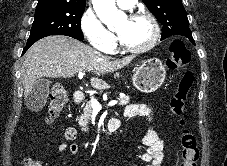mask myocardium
Here are the masks:
<instances>
[{
  "mask_svg": "<svg viewBox=\"0 0 227 166\" xmlns=\"http://www.w3.org/2000/svg\"><path fill=\"white\" fill-rule=\"evenodd\" d=\"M128 18L131 20L139 19V18H144L148 20L149 23L151 24L153 33L148 43L139 47L126 46L119 38L118 40H119V45L121 49L125 52L133 53V54H141L152 49L156 45L160 37V27L157 19L151 13L146 11H137V12L130 13L128 15Z\"/></svg>",
  "mask_w": 227,
  "mask_h": 166,
  "instance_id": "myocardium-1",
  "label": "myocardium"
}]
</instances>
